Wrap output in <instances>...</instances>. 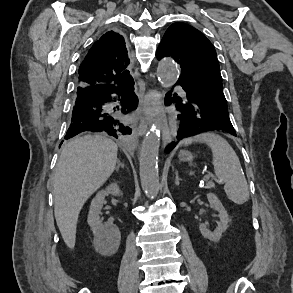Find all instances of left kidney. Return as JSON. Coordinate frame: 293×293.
<instances>
[{"label":"left kidney","instance_id":"5707ae66","mask_svg":"<svg viewBox=\"0 0 293 293\" xmlns=\"http://www.w3.org/2000/svg\"><path fill=\"white\" fill-rule=\"evenodd\" d=\"M207 199L210 203V207L213 208L218 212L219 222L218 226L214 231H210L207 229L205 224H199V230L204 238L212 242H217L220 240L222 234L227 230L228 224L231 219L228 216L227 211L225 210L224 206L222 205L221 201L217 198V196L213 193L207 194Z\"/></svg>","mask_w":293,"mask_h":293}]
</instances>
